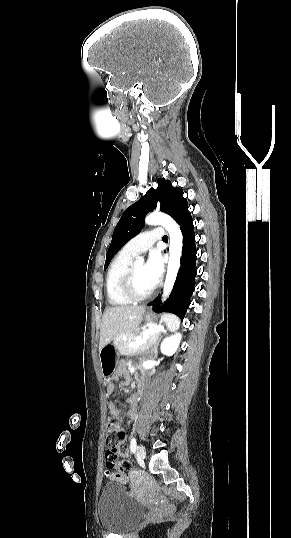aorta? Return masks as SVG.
Here are the masks:
<instances>
[{
    "label": "aorta",
    "instance_id": "aorta-1",
    "mask_svg": "<svg viewBox=\"0 0 291 538\" xmlns=\"http://www.w3.org/2000/svg\"><path fill=\"white\" fill-rule=\"evenodd\" d=\"M145 222L149 225H162L168 231L170 236V257L163 288V299H166L172 291L180 267V258L182 254V233L178 224L167 214L153 212L145 218ZM143 263L144 257H139L135 261L136 266H142Z\"/></svg>",
    "mask_w": 291,
    "mask_h": 538
}]
</instances>
